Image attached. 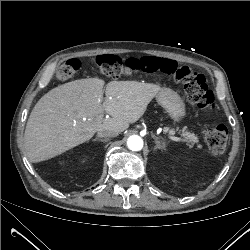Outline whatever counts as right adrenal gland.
Instances as JSON below:
<instances>
[{"label": "right adrenal gland", "instance_id": "obj_1", "mask_svg": "<svg viewBox=\"0 0 250 250\" xmlns=\"http://www.w3.org/2000/svg\"><path fill=\"white\" fill-rule=\"evenodd\" d=\"M92 141H93V142H94V141H101V142L106 143V142H108V141H109V138H106V139H102V138H95V139H93Z\"/></svg>", "mask_w": 250, "mask_h": 250}]
</instances>
